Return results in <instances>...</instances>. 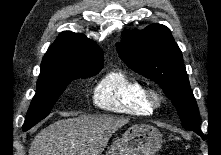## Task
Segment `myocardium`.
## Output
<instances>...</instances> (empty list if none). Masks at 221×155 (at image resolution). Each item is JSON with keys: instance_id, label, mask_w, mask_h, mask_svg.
<instances>
[{"instance_id": "obj_1", "label": "myocardium", "mask_w": 221, "mask_h": 155, "mask_svg": "<svg viewBox=\"0 0 221 155\" xmlns=\"http://www.w3.org/2000/svg\"><path fill=\"white\" fill-rule=\"evenodd\" d=\"M147 104L152 108H159L163 103V97L161 93L155 89H147L145 93Z\"/></svg>"}]
</instances>
